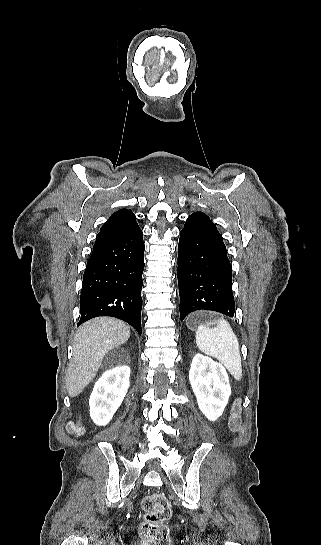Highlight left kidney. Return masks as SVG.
<instances>
[{
	"label": "left kidney",
	"mask_w": 321,
	"mask_h": 545,
	"mask_svg": "<svg viewBox=\"0 0 321 545\" xmlns=\"http://www.w3.org/2000/svg\"><path fill=\"white\" fill-rule=\"evenodd\" d=\"M189 381L201 413L209 421H216L221 417L231 395L224 367L210 357L197 353L191 363Z\"/></svg>",
	"instance_id": "obj_1"
}]
</instances>
